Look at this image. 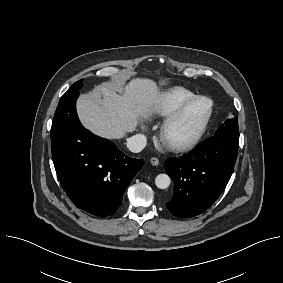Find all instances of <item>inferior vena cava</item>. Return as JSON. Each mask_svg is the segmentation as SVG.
Wrapping results in <instances>:
<instances>
[{
    "instance_id": "1",
    "label": "inferior vena cava",
    "mask_w": 283,
    "mask_h": 283,
    "mask_svg": "<svg viewBox=\"0 0 283 283\" xmlns=\"http://www.w3.org/2000/svg\"><path fill=\"white\" fill-rule=\"evenodd\" d=\"M146 137L143 134H136L127 141V147L131 152L138 153L146 146Z\"/></svg>"
}]
</instances>
